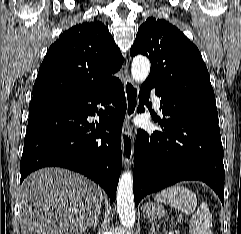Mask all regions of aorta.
<instances>
[{
  "mask_svg": "<svg viewBox=\"0 0 241 234\" xmlns=\"http://www.w3.org/2000/svg\"><path fill=\"white\" fill-rule=\"evenodd\" d=\"M150 72V61L142 55L133 58L131 66L132 78L135 82L146 80ZM117 212L123 226L133 227L136 219L133 196V176L130 171L122 173L117 188Z\"/></svg>",
  "mask_w": 241,
  "mask_h": 234,
  "instance_id": "762f6f07",
  "label": "aorta"
}]
</instances>
